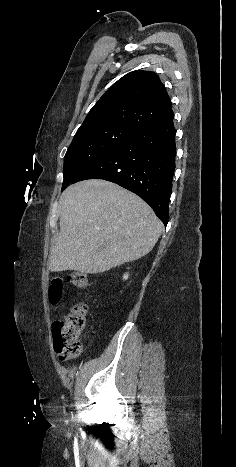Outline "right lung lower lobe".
Wrapping results in <instances>:
<instances>
[{"mask_svg": "<svg viewBox=\"0 0 236 467\" xmlns=\"http://www.w3.org/2000/svg\"><path fill=\"white\" fill-rule=\"evenodd\" d=\"M174 114L139 130L93 163L72 183L104 179L140 196L166 226L175 170Z\"/></svg>", "mask_w": 236, "mask_h": 467, "instance_id": "98d812e1", "label": "right lung lower lobe"}]
</instances>
